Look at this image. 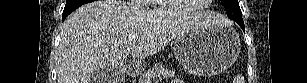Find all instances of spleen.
Returning a JSON list of instances; mask_svg holds the SVG:
<instances>
[{"label":"spleen","mask_w":307,"mask_h":83,"mask_svg":"<svg viewBox=\"0 0 307 83\" xmlns=\"http://www.w3.org/2000/svg\"><path fill=\"white\" fill-rule=\"evenodd\" d=\"M233 83H244V77L242 75H237Z\"/></svg>","instance_id":"obj_1"}]
</instances>
